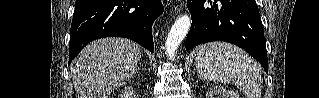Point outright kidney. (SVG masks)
Returning a JSON list of instances; mask_svg holds the SVG:
<instances>
[{
  "label": "right kidney",
  "instance_id": "ca27d5eb",
  "mask_svg": "<svg viewBox=\"0 0 319 98\" xmlns=\"http://www.w3.org/2000/svg\"><path fill=\"white\" fill-rule=\"evenodd\" d=\"M129 94H130L132 97H134V98L136 97L134 90H129ZM124 95H126V94H124Z\"/></svg>",
  "mask_w": 319,
  "mask_h": 98
}]
</instances>
